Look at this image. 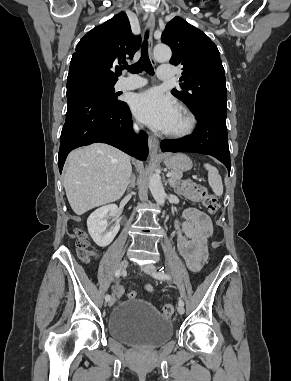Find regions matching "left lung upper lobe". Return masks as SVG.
Masks as SVG:
<instances>
[{"instance_id":"left-lung-upper-lobe-1","label":"left lung upper lobe","mask_w":291,"mask_h":381,"mask_svg":"<svg viewBox=\"0 0 291 381\" xmlns=\"http://www.w3.org/2000/svg\"><path fill=\"white\" fill-rule=\"evenodd\" d=\"M161 39L172 50V65H182L180 89L172 94L194 114L204 110L227 112L224 68L217 46L201 30L176 16Z\"/></svg>"}]
</instances>
